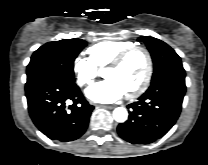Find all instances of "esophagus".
I'll return each mask as SVG.
<instances>
[{
  "label": "esophagus",
  "instance_id": "obj_1",
  "mask_svg": "<svg viewBox=\"0 0 208 165\" xmlns=\"http://www.w3.org/2000/svg\"><path fill=\"white\" fill-rule=\"evenodd\" d=\"M96 106L106 108V109H113L115 107L114 105H102V104H97Z\"/></svg>",
  "mask_w": 208,
  "mask_h": 165
}]
</instances>
